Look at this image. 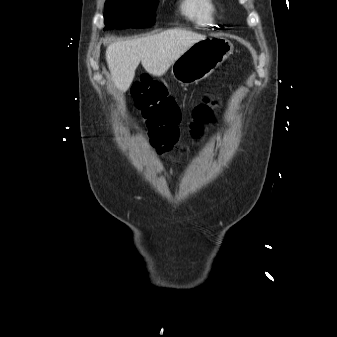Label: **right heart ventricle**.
Returning a JSON list of instances; mask_svg holds the SVG:
<instances>
[{
  "mask_svg": "<svg viewBox=\"0 0 337 337\" xmlns=\"http://www.w3.org/2000/svg\"><path fill=\"white\" fill-rule=\"evenodd\" d=\"M180 10L199 27H213L217 21L218 8L214 0H182Z\"/></svg>",
  "mask_w": 337,
  "mask_h": 337,
  "instance_id": "1",
  "label": "right heart ventricle"
}]
</instances>
